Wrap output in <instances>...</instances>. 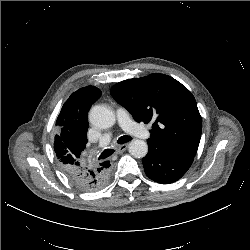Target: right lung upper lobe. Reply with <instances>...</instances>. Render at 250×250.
Here are the masks:
<instances>
[{"label":"right lung upper lobe","instance_id":"1","mask_svg":"<svg viewBox=\"0 0 250 250\" xmlns=\"http://www.w3.org/2000/svg\"><path fill=\"white\" fill-rule=\"evenodd\" d=\"M101 96L100 89L86 86L72 93L64 103L56 120L57 134L54 151L62 168L85 165L83 151L87 143V113Z\"/></svg>","mask_w":250,"mask_h":250}]
</instances>
